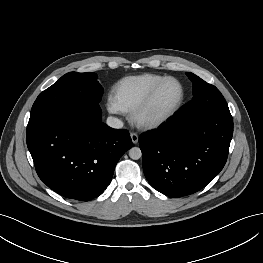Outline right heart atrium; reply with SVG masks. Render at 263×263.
<instances>
[{"mask_svg": "<svg viewBox=\"0 0 263 263\" xmlns=\"http://www.w3.org/2000/svg\"><path fill=\"white\" fill-rule=\"evenodd\" d=\"M107 109L110 113L117 114L120 112V110L117 108V106L112 102V100H109L107 102Z\"/></svg>", "mask_w": 263, "mask_h": 263, "instance_id": "d8ad5b80", "label": "right heart atrium"}]
</instances>
